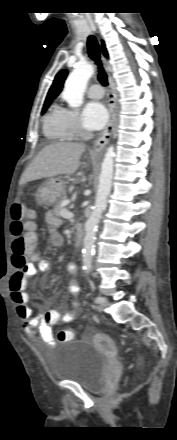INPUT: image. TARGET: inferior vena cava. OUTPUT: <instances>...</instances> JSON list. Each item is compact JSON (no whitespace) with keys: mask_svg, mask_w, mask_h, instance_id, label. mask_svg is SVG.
Segmentation results:
<instances>
[{"mask_svg":"<svg viewBox=\"0 0 177 440\" xmlns=\"http://www.w3.org/2000/svg\"><path fill=\"white\" fill-rule=\"evenodd\" d=\"M92 137H93V134L90 133V132H86L83 135V138L86 139V140L91 139Z\"/></svg>","mask_w":177,"mask_h":440,"instance_id":"inferior-vena-cava-1","label":"inferior vena cava"}]
</instances>
